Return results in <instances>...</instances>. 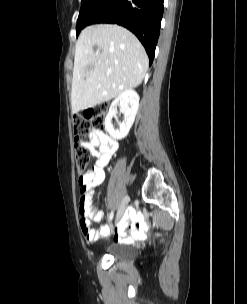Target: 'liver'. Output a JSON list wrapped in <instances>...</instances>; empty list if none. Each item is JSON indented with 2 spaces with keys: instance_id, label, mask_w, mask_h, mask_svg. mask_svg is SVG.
Listing matches in <instances>:
<instances>
[{
  "instance_id": "6515ba94",
  "label": "liver",
  "mask_w": 247,
  "mask_h": 304,
  "mask_svg": "<svg viewBox=\"0 0 247 304\" xmlns=\"http://www.w3.org/2000/svg\"><path fill=\"white\" fill-rule=\"evenodd\" d=\"M147 69L145 49L130 31L111 24L86 27L75 49L72 112L107 102L139 86Z\"/></svg>"
}]
</instances>
